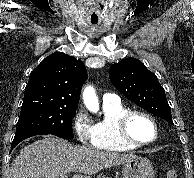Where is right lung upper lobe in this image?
<instances>
[{"label": "right lung upper lobe", "mask_w": 194, "mask_h": 178, "mask_svg": "<svg viewBox=\"0 0 194 178\" xmlns=\"http://www.w3.org/2000/svg\"><path fill=\"white\" fill-rule=\"evenodd\" d=\"M87 77L81 60L62 52L53 53L30 73L24 100L46 98L78 106Z\"/></svg>", "instance_id": "1"}]
</instances>
